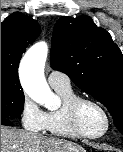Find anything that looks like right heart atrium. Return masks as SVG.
<instances>
[{
	"label": "right heart atrium",
	"mask_w": 123,
	"mask_h": 152,
	"mask_svg": "<svg viewBox=\"0 0 123 152\" xmlns=\"http://www.w3.org/2000/svg\"><path fill=\"white\" fill-rule=\"evenodd\" d=\"M20 119L23 127L31 132H41L46 126V112L28 96H24L21 109Z\"/></svg>",
	"instance_id": "obj_1"
}]
</instances>
